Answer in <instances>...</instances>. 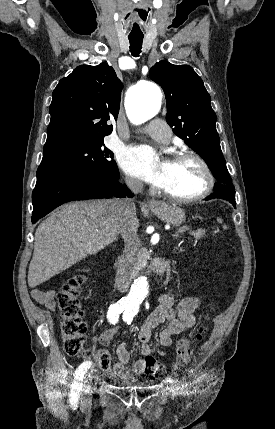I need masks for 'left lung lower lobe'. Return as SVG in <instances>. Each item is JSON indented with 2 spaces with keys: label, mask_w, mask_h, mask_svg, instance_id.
I'll list each match as a JSON object with an SVG mask.
<instances>
[{
  "label": "left lung lower lobe",
  "mask_w": 275,
  "mask_h": 429,
  "mask_svg": "<svg viewBox=\"0 0 275 429\" xmlns=\"http://www.w3.org/2000/svg\"><path fill=\"white\" fill-rule=\"evenodd\" d=\"M219 198L229 201L234 208H236L235 196L231 195V193L223 192V191H214L210 196H208L205 200Z\"/></svg>",
  "instance_id": "1"
}]
</instances>
